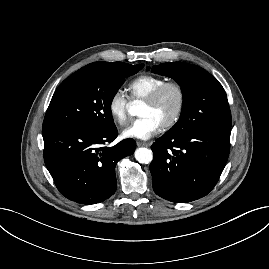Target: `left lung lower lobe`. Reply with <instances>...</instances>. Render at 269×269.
Listing matches in <instances>:
<instances>
[{"label":"left lung lower lobe","instance_id":"1","mask_svg":"<svg viewBox=\"0 0 269 269\" xmlns=\"http://www.w3.org/2000/svg\"><path fill=\"white\" fill-rule=\"evenodd\" d=\"M230 128H199L183 135L165 134L151 146L153 189L160 197L187 203L207 195L228 159Z\"/></svg>","mask_w":269,"mask_h":269}]
</instances>
